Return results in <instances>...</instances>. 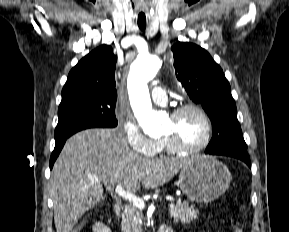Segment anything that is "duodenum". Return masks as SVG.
<instances>
[{
	"instance_id": "410a0bca",
	"label": "duodenum",
	"mask_w": 289,
	"mask_h": 232,
	"mask_svg": "<svg viewBox=\"0 0 289 232\" xmlns=\"http://www.w3.org/2000/svg\"><path fill=\"white\" fill-rule=\"evenodd\" d=\"M123 204L121 202H117L114 204V212L119 215L123 211ZM158 232H171V228L168 226H162Z\"/></svg>"
}]
</instances>
